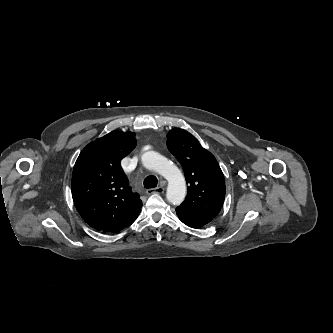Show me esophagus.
<instances>
[{"mask_svg": "<svg viewBox=\"0 0 333 333\" xmlns=\"http://www.w3.org/2000/svg\"><path fill=\"white\" fill-rule=\"evenodd\" d=\"M163 192H164V188L161 187V186L153 188V189H147L146 190V193L148 195L153 194V193L162 194Z\"/></svg>", "mask_w": 333, "mask_h": 333, "instance_id": "obj_1", "label": "esophagus"}]
</instances>
